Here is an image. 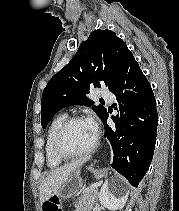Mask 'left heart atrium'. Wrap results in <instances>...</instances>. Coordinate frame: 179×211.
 Returning a JSON list of instances; mask_svg holds the SVG:
<instances>
[{
    "label": "left heart atrium",
    "mask_w": 179,
    "mask_h": 211,
    "mask_svg": "<svg viewBox=\"0 0 179 211\" xmlns=\"http://www.w3.org/2000/svg\"><path fill=\"white\" fill-rule=\"evenodd\" d=\"M87 122L89 123V125H90L92 131L94 132V134L97 135L98 134L97 121L93 117H91V118L87 119Z\"/></svg>",
    "instance_id": "39dd6f15"
}]
</instances>
